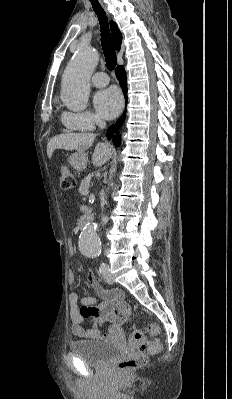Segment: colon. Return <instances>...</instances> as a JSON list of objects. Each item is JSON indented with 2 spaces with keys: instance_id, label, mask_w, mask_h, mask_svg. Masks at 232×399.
<instances>
[{
  "instance_id": "obj_1",
  "label": "colon",
  "mask_w": 232,
  "mask_h": 399,
  "mask_svg": "<svg viewBox=\"0 0 232 399\" xmlns=\"http://www.w3.org/2000/svg\"><path fill=\"white\" fill-rule=\"evenodd\" d=\"M68 163H57L56 183H61V188H72L75 185L73 171L66 172ZM158 321H148L147 326H137L131 330L130 340L122 341V353H147L146 341H151L152 333H159ZM145 365V358L140 355H121L119 374H134V368Z\"/></svg>"
}]
</instances>
